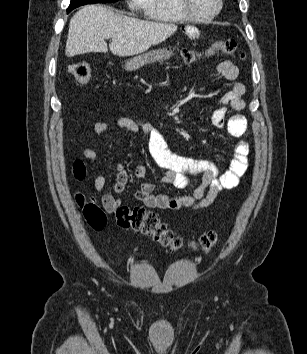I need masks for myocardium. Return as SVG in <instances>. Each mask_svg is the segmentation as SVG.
Here are the masks:
<instances>
[{
    "instance_id": "1",
    "label": "myocardium",
    "mask_w": 307,
    "mask_h": 354,
    "mask_svg": "<svg viewBox=\"0 0 307 354\" xmlns=\"http://www.w3.org/2000/svg\"><path fill=\"white\" fill-rule=\"evenodd\" d=\"M177 6L179 11L184 15V17L187 20H191V21H195V22H209L211 20H213L214 18H216L219 13L222 10L223 7V0H217V8L215 9V11L208 15V16H196L194 15L190 9H189V5H188V0H177Z\"/></svg>"
}]
</instances>
